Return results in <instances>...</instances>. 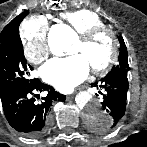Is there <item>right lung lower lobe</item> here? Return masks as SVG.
I'll return each instance as SVG.
<instances>
[{"mask_svg":"<svg viewBox=\"0 0 147 147\" xmlns=\"http://www.w3.org/2000/svg\"><path fill=\"white\" fill-rule=\"evenodd\" d=\"M47 91V96L36 101L35 92ZM37 94L34 95L36 97ZM40 97V96H39ZM3 111L9 124L21 134L38 137L47 132L50 123L48 111L55 100L65 101L66 97L51 86L33 79L27 86L0 94Z\"/></svg>","mask_w":147,"mask_h":147,"instance_id":"1","label":"right lung lower lobe"}]
</instances>
